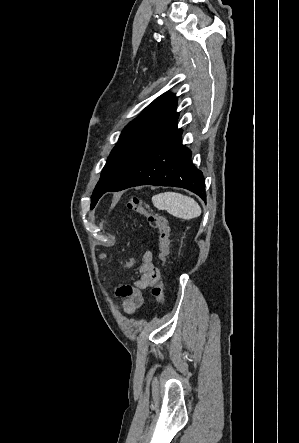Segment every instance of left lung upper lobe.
<instances>
[{"label": "left lung upper lobe", "mask_w": 299, "mask_h": 443, "mask_svg": "<svg viewBox=\"0 0 299 443\" xmlns=\"http://www.w3.org/2000/svg\"><path fill=\"white\" fill-rule=\"evenodd\" d=\"M177 98L163 94L122 131L91 197V207L139 159L177 129Z\"/></svg>", "instance_id": "1"}]
</instances>
